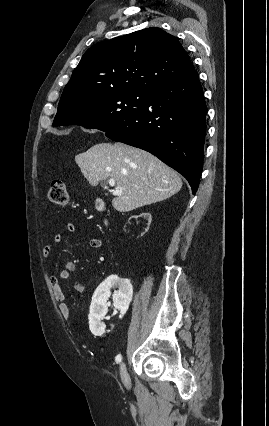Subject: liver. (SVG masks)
Here are the masks:
<instances>
[{"label":"liver","mask_w":269,"mask_h":426,"mask_svg":"<svg viewBox=\"0 0 269 426\" xmlns=\"http://www.w3.org/2000/svg\"><path fill=\"white\" fill-rule=\"evenodd\" d=\"M91 186L113 179L123 194L112 200L119 212L160 202L182 188L180 175L154 155L124 143H99L75 156Z\"/></svg>","instance_id":"6515ba94"}]
</instances>
